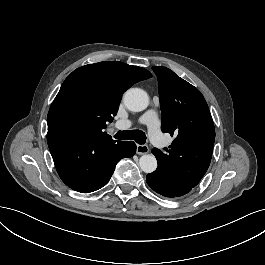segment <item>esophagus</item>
Returning a JSON list of instances; mask_svg holds the SVG:
<instances>
[{"mask_svg": "<svg viewBox=\"0 0 265 265\" xmlns=\"http://www.w3.org/2000/svg\"><path fill=\"white\" fill-rule=\"evenodd\" d=\"M149 152V147L148 145H137L136 148V153L141 155V154H147Z\"/></svg>", "mask_w": 265, "mask_h": 265, "instance_id": "esophagus-1", "label": "esophagus"}]
</instances>
